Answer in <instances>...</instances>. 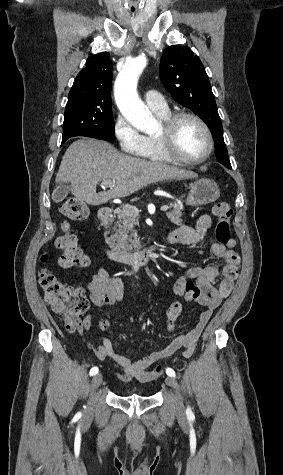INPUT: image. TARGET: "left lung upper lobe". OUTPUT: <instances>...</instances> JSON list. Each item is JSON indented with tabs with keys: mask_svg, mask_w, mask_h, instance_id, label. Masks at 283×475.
I'll use <instances>...</instances> for the list:
<instances>
[{
	"mask_svg": "<svg viewBox=\"0 0 283 475\" xmlns=\"http://www.w3.org/2000/svg\"><path fill=\"white\" fill-rule=\"evenodd\" d=\"M160 77L173 99L191 109L210 128L223 134V128L204 66L189 47L170 46L160 61Z\"/></svg>",
	"mask_w": 283,
	"mask_h": 475,
	"instance_id": "1",
	"label": "left lung upper lobe"
}]
</instances>
